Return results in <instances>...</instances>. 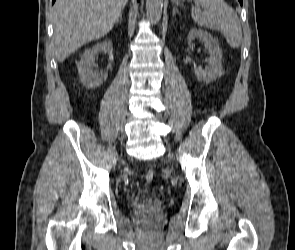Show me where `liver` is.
<instances>
[{"instance_id":"6515ba94","label":"liver","mask_w":295,"mask_h":250,"mask_svg":"<svg viewBox=\"0 0 295 250\" xmlns=\"http://www.w3.org/2000/svg\"><path fill=\"white\" fill-rule=\"evenodd\" d=\"M128 0H56L54 44L63 62L84 44L109 33Z\"/></svg>"}]
</instances>
